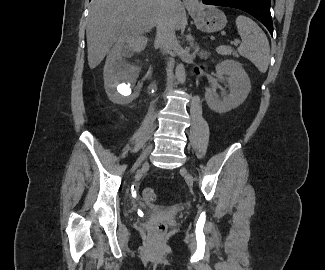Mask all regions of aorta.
Segmentation results:
<instances>
[{
    "instance_id": "aorta-1",
    "label": "aorta",
    "mask_w": 325,
    "mask_h": 270,
    "mask_svg": "<svg viewBox=\"0 0 325 270\" xmlns=\"http://www.w3.org/2000/svg\"><path fill=\"white\" fill-rule=\"evenodd\" d=\"M175 74H176V78L178 79V81L180 83H182V84L185 83L186 74H185V67L183 64L177 65Z\"/></svg>"
}]
</instances>
